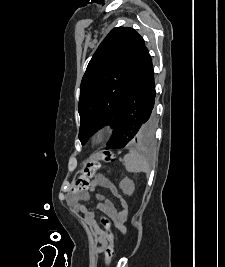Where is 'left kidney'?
Segmentation results:
<instances>
[{
	"label": "left kidney",
	"mask_w": 225,
	"mask_h": 267,
	"mask_svg": "<svg viewBox=\"0 0 225 267\" xmlns=\"http://www.w3.org/2000/svg\"><path fill=\"white\" fill-rule=\"evenodd\" d=\"M119 186L122 189L123 193L129 196H131L135 190L134 182L127 177H125L121 181Z\"/></svg>",
	"instance_id": "5707ae66"
}]
</instances>
